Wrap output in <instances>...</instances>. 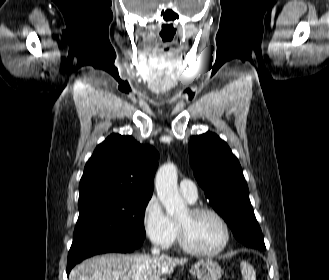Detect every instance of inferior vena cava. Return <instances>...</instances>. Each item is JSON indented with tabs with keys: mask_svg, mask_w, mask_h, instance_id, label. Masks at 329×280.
I'll use <instances>...</instances> for the list:
<instances>
[{
	"mask_svg": "<svg viewBox=\"0 0 329 280\" xmlns=\"http://www.w3.org/2000/svg\"><path fill=\"white\" fill-rule=\"evenodd\" d=\"M152 254H153L154 256H158V255L160 254V250L157 249L156 247H154V248L152 249Z\"/></svg>",
	"mask_w": 329,
	"mask_h": 280,
	"instance_id": "inferior-vena-cava-1",
	"label": "inferior vena cava"
}]
</instances>
